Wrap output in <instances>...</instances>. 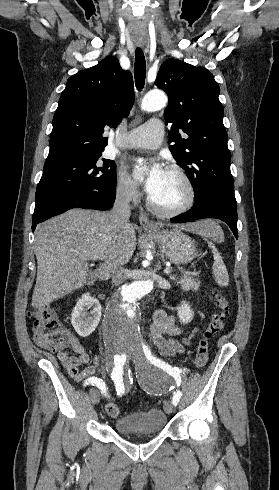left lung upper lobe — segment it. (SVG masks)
Instances as JSON below:
<instances>
[{"label": "left lung upper lobe", "instance_id": "1", "mask_svg": "<svg viewBox=\"0 0 279 490\" xmlns=\"http://www.w3.org/2000/svg\"><path fill=\"white\" fill-rule=\"evenodd\" d=\"M155 85L169 97L164 112L166 124H172L168 141L173 145L169 148L188 174L194 201L208 191L234 196L224 110L213 75L204 67L168 59L161 65Z\"/></svg>", "mask_w": 279, "mask_h": 490}]
</instances>
